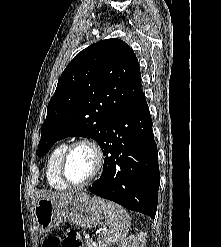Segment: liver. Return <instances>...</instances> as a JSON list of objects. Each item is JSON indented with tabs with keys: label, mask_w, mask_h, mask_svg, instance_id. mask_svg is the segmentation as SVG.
I'll return each instance as SVG.
<instances>
[{
	"label": "liver",
	"mask_w": 221,
	"mask_h": 247,
	"mask_svg": "<svg viewBox=\"0 0 221 247\" xmlns=\"http://www.w3.org/2000/svg\"><path fill=\"white\" fill-rule=\"evenodd\" d=\"M69 196H72V193H53V194H44L43 196H39L41 199H64Z\"/></svg>",
	"instance_id": "liver-1"
}]
</instances>
